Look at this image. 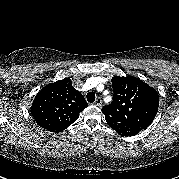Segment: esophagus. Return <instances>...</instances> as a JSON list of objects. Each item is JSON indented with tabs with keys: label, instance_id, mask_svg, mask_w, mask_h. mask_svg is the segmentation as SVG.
Returning a JSON list of instances; mask_svg holds the SVG:
<instances>
[{
	"label": "esophagus",
	"instance_id": "1",
	"mask_svg": "<svg viewBox=\"0 0 179 179\" xmlns=\"http://www.w3.org/2000/svg\"><path fill=\"white\" fill-rule=\"evenodd\" d=\"M94 104H95L96 106H101V104H102L101 98L98 97V98L95 100Z\"/></svg>",
	"mask_w": 179,
	"mask_h": 179
}]
</instances>
